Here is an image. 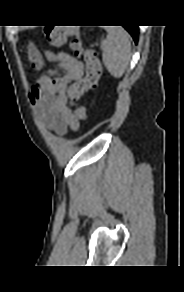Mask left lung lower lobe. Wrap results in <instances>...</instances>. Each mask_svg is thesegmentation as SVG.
<instances>
[{"mask_svg":"<svg viewBox=\"0 0 184 292\" xmlns=\"http://www.w3.org/2000/svg\"><path fill=\"white\" fill-rule=\"evenodd\" d=\"M131 34L135 43L138 42V26H123Z\"/></svg>","mask_w":184,"mask_h":292,"instance_id":"obj_1","label":"left lung lower lobe"}]
</instances>
